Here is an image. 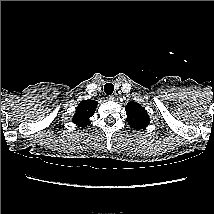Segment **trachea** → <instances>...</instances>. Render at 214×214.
Segmentation results:
<instances>
[{
  "label": "trachea",
  "mask_w": 214,
  "mask_h": 214,
  "mask_svg": "<svg viewBox=\"0 0 214 214\" xmlns=\"http://www.w3.org/2000/svg\"><path fill=\"white\" fill-rule=\"evenodd\" d=\"M104 91L107 95H111L114 91V86L111 83H106L104 86Z\"/></svg>",
  "instance_id": "obj_1"
}]
</instances>
